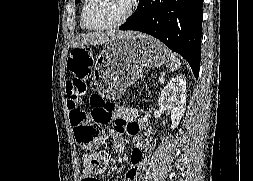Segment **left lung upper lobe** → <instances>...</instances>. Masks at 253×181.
I'll return each mask as SVG.
<instances>
[{"mask_svg": "<svg viewBox=\"0 0 253 181\" xmlns=\"http://www.w3.org/2000/svg\"><path fill=\"white\" fill-rule=\"evenodd\" d=\"M80 0H75V3H78Z\"/></svg>", "mask_w": 253, "mask_h": 181, "instance_id": "left-lung-upper-lobe-1", "label": "left lung upper lobe"}]
</instances>
